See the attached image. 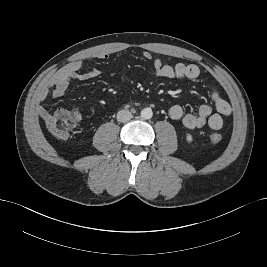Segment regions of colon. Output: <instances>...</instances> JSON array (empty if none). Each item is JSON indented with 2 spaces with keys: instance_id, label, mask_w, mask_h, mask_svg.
<instances>
[{
  "instance_id": "5ec220e1",
  "label": "colon",
  "mask_w": 267,
  "mask_h": 267,
  "mask_svg": "<svg viewBox=\"0 0 267 267\" xmlns=\"http://www.w3.org/2000/svg\"><path fill=\"white\" fill-rule=\"evenodd\" d=\"M79 120L80 117L77 112L60 108L50 113L45 122L53 136L60 140H66L74 132ZM221 140L222 136L219 133H212L210 135L212 143H219Z\"/></svg>"
}]
</instances>
